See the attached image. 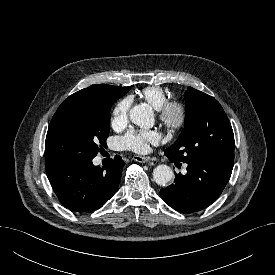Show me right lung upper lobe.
Instances as JSON below:
<instances>
[{
    "mask_svg": "<svg viewBox=\"0 0 275 275\" xmlns=\"http://www.w3.org/2000/svg\"><path fill=\"white\" fill-rule=\"evenodd\" d=\"M130 87H116L106 84L91 85L69 96L58 108L63 110L73 108L84 103H101L117 95L125 93Z\"/></svg>",
    "mask_w": 275,
    "mask_h": 275,
    "instance_id": "right-lung-upper-lobe-1",
    "label": "right lung upper lobe"
}]
</instances>
